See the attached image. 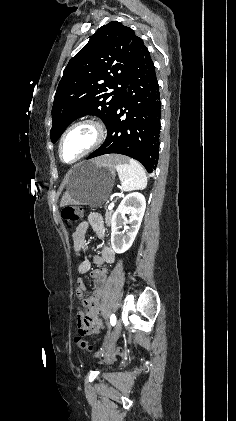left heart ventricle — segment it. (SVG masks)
I'll return each mask as SVG.
<instances>
[{
    "label": "left heart ventricle",
    "instance_id": "obj_1",
    "mask_svg": "<svg viewBox=\"0 0 236 421\" xmlns=\"http://www.w3.org/2000/svg\"><path fill=\"white\" fill-rule=\"evenodd\" d=\"M94 132L88 127H81L72 131L64 140L61 157L66 163L73 162L92 143Z\"/></svg>",
    "mask_w": 236,
    "mask_h": 421
}]
</instances>
